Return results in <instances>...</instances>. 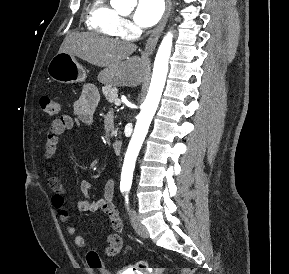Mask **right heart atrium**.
Here are the masks:
<instances>
[{
  "instance_id": "d8ad5b80",
  "label": "right heart atrium",
  "mask_w": 289,
  "mask_h": 274,
  "mask_svg": "<svg viewBox=\"0 0 289 274\" xmlns=\"http://www.w3.org/2000/svg\"><path fill=\"white\" fill-rule=\"evenodd\" d=\"M121 27L125 35L133 34L136 31L135 27L128 20H122Z\"/></svg>"
}]
</instances>
